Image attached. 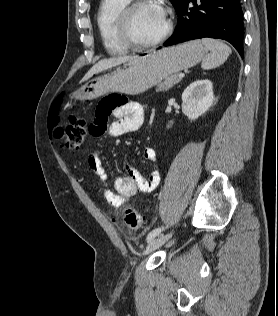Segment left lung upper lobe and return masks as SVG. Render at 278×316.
I'll return each instance as SVG.
<instances>
[{"mask_svg":"<svg viewBox=\"0 0 278 316\" xmlns=\"http://www.w3.org/2000/svg\"><path fill=\"white\" fill-rule=\"evenodd\" d=\"M170 1L173 4V6H174V8L176 10L182 0H170Z\"/></svg>","mask_w":278,"mask_h":316,"instance_id":"obj_1","label":"left lung upper lobe"}]
</instances>
